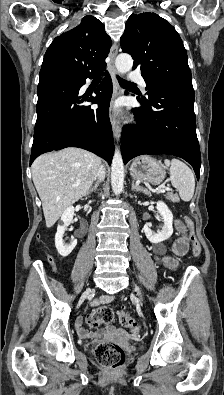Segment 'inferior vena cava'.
<instances>
[{
	"label": "inferior vena cava",
	"instance_id": "1",
	"mask_svg": "<svg viewBox=\"0 0 224 395\" xmlns=\"http://www.w3.org/2000/svg\"><path fill=\"white\" fill-rule=\"evenodd\" d=\"M96 176H97V179H98L99 181H103V180H104V178H105V168H104L103 165H101V166L98 168V171H97Z\"/></svg>",
	"mask_w": 224,
	"mask_h": 395
}]
</instances>
